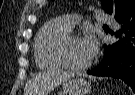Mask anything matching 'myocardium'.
Wrapping results in <instances>:
<instances>
[{
	"mask_svg": "<svg viewBox=\"0 0 135 95\" xmlns=\"http://www.w3.org/2000/svg\"><path fill=\"white\" fill-rule=\"evenodd\" d=\"M79 34L76 32H68L59 42L57 47V56L63 66L71 69H84L90 65V60L85 63H73L71 62L66 55V46L73 38H78Z\"/></svg>",
	"mask_w": 135,
	"mask_h": 95,
	"instance_id": "obj_1",
	"label": "myocardium"
}]
</instances>
